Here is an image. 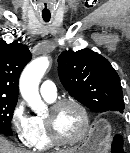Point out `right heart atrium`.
<instances>
[{
    "label": "right heart atrium",
    "mask_w": 130,
    "mask_h": 153,
    "mask_svg": "<svg viewBox=\"0 0 130 153\" xmlns=\"http://www.w3.org/2000/svg\"><path fill=\"white\" fill-rule=\"evenodd\" d=\"M26 85L28 86V83H26ZM10 122L19 143L26 146H31V117L27 114L23 101L17 102V104L14 106L11 112Z\"/></svg>",
    "instance_id": "1"
}]
</instances>
